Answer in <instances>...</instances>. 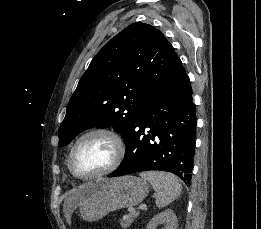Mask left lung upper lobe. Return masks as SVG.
<instances>
[{
    "instance_id": "left-lung-upper-lobe-1",
    "label": "left lung upper lobe",
    "mask_w": 261,
    "mask_h": 229,
    "mask_svg": "<svg viewBox=\"0 0 261 229\" xmlns=\"http://www.w3.org/2000/svg\"><path fill=\"white\" fill-rule=\"evenodd\" d=\"M181 64L161 31L141 22L126 27L81 77L59 127V146L95 126H113L127 142L150 92Z\"/></svg>"
}]
</instances>
